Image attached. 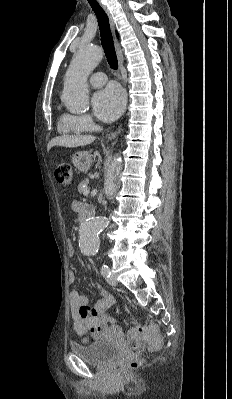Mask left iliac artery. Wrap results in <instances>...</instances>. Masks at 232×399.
Returning a JSON list of instances; mask_svg holds the SVG:
<instances>
[{
  "label": "left iliac artery",
  "instance_id": "left-iliac-artery-1",
  "mask_svg": "<svg viewBox=\"0 0 232 399\" xmlns=\"http://www.w3.org/2000/svg\"><path fill=\"white\" fill-rule=\"evenodd\" d=\"M101 274L110 277L111 270H110L109 265H107V264L102 265Z\"/></svg>",
  "mask_w": 232,
  "mask_h": 399
}]
</instances>
